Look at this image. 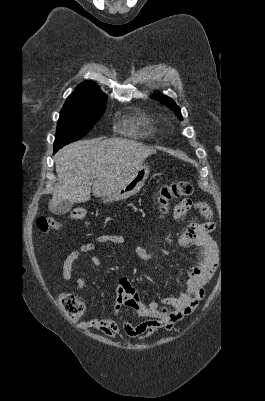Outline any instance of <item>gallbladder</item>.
I'll use <instances>...</instances> for the list:
<instances>
[{"label": "gallbladder", "mask_w": 265, "mask_h": 401, "mask_svg": "<svg viewBox=\"0 0 265 401\" xmlns=\"http://www.w3.org/2000/svg\"><path fill=\"white\" fill-rule=\"evenodd\" d=\"M73 205L74 203H71V201H62V203L53 207L52 201H50L49 209L54 215H66V213H69L70 209H72Z\"/></svg>", "instance_id": "gallbladder-1"}]
</instances>
